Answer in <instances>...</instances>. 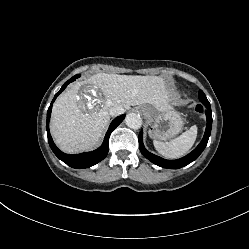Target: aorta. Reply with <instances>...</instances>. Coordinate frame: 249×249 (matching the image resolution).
Returning <instances> with one entry per match:
<instances>
[{
	"label": "aorta",
	"mask_w": 249,
	"mask_h": 249,
	"mask_svg": "<svg viewBox=\"0 0 249 249\" xmlns=\"http://www.w3.org/2000/svg\"><path fill=\"white\" fill-rule=\"evenodd\" d=\"M125 123L132 129H139L142 125V118L139 114L129 113L125 118Z\"/></svg>",
	"instance_id": "obj_1"
}]
</instances>
